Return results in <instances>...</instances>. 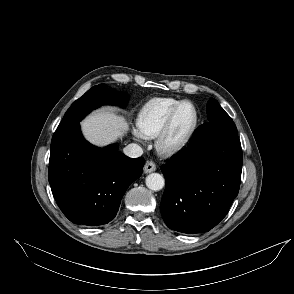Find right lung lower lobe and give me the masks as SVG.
Wrapping results in <instances>:
<instances>
[{"mask_svg":"<svg viewBox=\"0 0 294 294\" xmlns=\"http://www.w3.org/2000/svg\"><path fill=\"white\" fill-rule=\"evenodd\" d=\"M94 104H113L119 92L99 84L87 91ZM115 144L104 148L87 142L79 122L59 127L50 148L48 178L53 196L73 223L98 226L117 214L129 185L143 171L144 159H131Z\"/></svg>","mask_w":294,"mask_h":294,"instance_id":"right-lung-lower-lobe-1","label":"right lung lower lobe"}]
</instances>
